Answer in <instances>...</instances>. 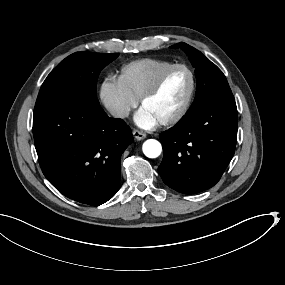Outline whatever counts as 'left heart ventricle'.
I'll list each match as a JSON object with an SVG mask.
<instances>
[{
  "label": "left heart ventricle",
  "instance_id": "1",
  "mask_svg": "<svg viewBox=\"0 0 285 285\" xmlns=\"http://www.w3.org/2000/svg\"><path fill=\"white\" fill-rule=\"evenodd\" d=\"M189 91V80L185 74L173 75L162 89L148 99L143 106L159 120L176 113L184 104Z\"/></svg>",
  "mask_w": 285,
  "mask_h": 285
}]
</instances>
